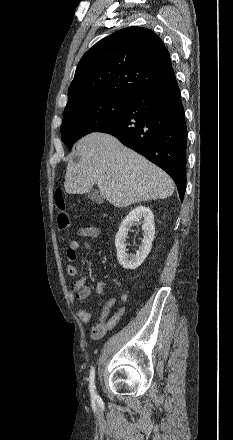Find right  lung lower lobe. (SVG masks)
<instances>
[{"label": "right lung lower lobe", "mask_w": 233, "mask_h": 440, "mask_svg": "<svg viewBox=\"0 0 233 440\" xmlns=\"http://www.w3.org/2000/svg\"><path fill=\"white\" fill-rule=\"evenodd\" d=\"M96 132L115 136L165 170L174 179L183 200L187 127L174 75L134 94L122 113Z\"/></svg>", "instance_id": "1"}]
</instances>
